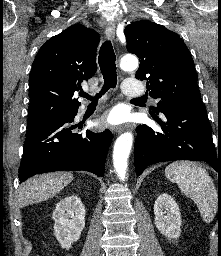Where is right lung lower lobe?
<instances>
[{"mask_svg":"<svg viewBox=\"0 0 221 256\" xmlns=\"http://www.w3.org/2000/svg\"><path fill=\"white\" fill-rule=\"evenodd\" d=\"M77 112L50 119L29 128L19 168V180L52 171H90L104 176L105 160L112 141L109 130L102 133L72 132Z\"/></svg>","mask_w":221,"mask_h":256,"instance_id":"right-lung-lower-lobe-1","label":"right lung lower lobe"}]
</instances>
